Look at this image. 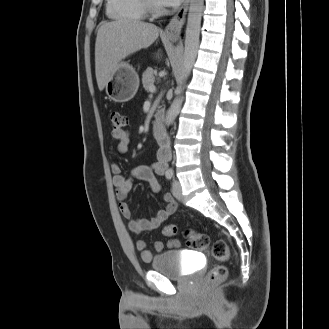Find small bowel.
<instances>
[{
	"label": "small bowel",
	"instance_id": "small-bowel-1",
	"mask_svg": "<svg viewBox=\"0 0 329 329\" xmlns=\"http://www.w3.org/2000/svg\"><path fill=\"white\" fill-rule=\"evenodd\" d=\"M112 137L117 141V149L119 152L124 153L128 150L131 144V135L128 131L125 130L120 136L112 134ZM165 168L166 163L163 161H157L151 165H137L133 167L130 174L126 176L122 173V168L118 163H113L111 166L119 211L123 218L128 221L129 229L136 234L158 228L162 222L177 210L178 203L173 196L164 194L163 200L166 203L165 208L150 220H138L133 218L132 211L125 202L132 189L134 179L145 181L149 184L153 192H160L161 186L158 181V176L164 173ZM180 246L181 243L177 239H172L167 242V247L171 249H178ZM135 247L144 261H150L153 258L152 252L147 249L146 243L143 240L137 241ZM164 248L165 245L163 242L157 241L155 243V250L157 253L163 252Z\"/></svg>",
	"mask_w": 329,
	"mask_h": 329
}]
</instances>
